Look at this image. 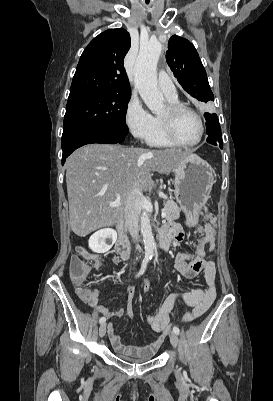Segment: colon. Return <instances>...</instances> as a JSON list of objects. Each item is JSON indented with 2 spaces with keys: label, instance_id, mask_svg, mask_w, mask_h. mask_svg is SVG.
<instances>
[{
  "label": "colon",
  "instance_id": "colon-1",
  "mask_svg": "<svg viewBox=\"0 0 273 401\" xmlns=\"http://www.w3.org/2000/svg\"><path fill=\"white\" fill-rule=\"evenodd\" d=\"M67 268L71 275L73 292L78 293L80 297H91L93 291L92 284H80V282H86L87 276L93 273L92 268L87 267L85 259L83 257H73L72 261H68ZM152 288L153 285L148 282L141 289V292L146 294Z\"/></svg>",
  "mask_w": 273,
  "mask_h": 401
}]
</instances>
